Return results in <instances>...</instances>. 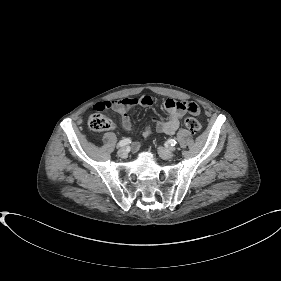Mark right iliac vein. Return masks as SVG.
<instances>
[{
  "instance_id": "obj_1",
  "label": "right iliac vein",
  "mask_w": 281,
  "mask_h": 281,
  "mask_svg": "<svg viewBox=\"0 0 281 281\" xmlns=\"http://www.w3.org/2000/svg\"><path fill=\"white\" fill-rule=\"evenodd\" d=\"M118 155L121 157V158H126L127 157V151L124 147L120 148L118 150Z\"/></svg>"
}]
</instances>
